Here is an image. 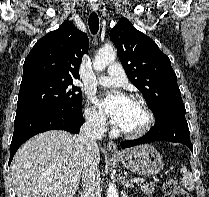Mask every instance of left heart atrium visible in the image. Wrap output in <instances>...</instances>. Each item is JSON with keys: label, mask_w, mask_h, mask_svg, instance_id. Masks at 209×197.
<instances>
[{"label": "left heart atrium", "mask_w": 209, "mask_h": 197, "mask_svg": "<svg viewBox=\"0 0 209 197\" xmlns=\"http://www.w3.org/2000/svg\"><path fill=\"white\" fill-rule=\"evenodd\" d=\"M102 110L111 117L113 123L122 126L133 109L134 102L121 93L106 94L99 102Z\"/></svg>", "instance_id": "obj_1"}]
</instances>
